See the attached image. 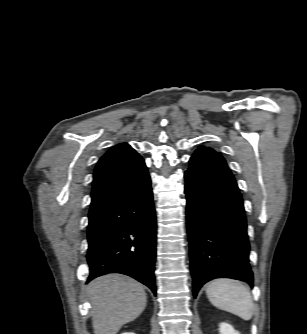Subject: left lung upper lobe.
<instances>
[{
    "instance_id": "obj_1",
    "label": "left lung upper lobe",
    "mask_w": 307,
    "mask_h": 334,
    "mask_svg": "<svg viewBox=\"0 0 307 334\" xmlns=\"http://www.w3.org/2000/svg\"><path fill=\"white\" fill-rule=\"evenodd\" d=\"M191 162H202L208 165L226 167L227 163L222 155L211 148L201 146L199 147L195 153L192 155L190 159Z\"/></svg>"
}]
</instances>
